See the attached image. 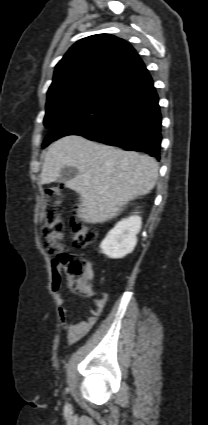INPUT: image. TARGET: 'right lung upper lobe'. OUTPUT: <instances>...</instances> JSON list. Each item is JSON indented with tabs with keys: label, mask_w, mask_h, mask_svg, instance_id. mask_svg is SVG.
<instances>
[{
	"label": "right lung upper lobe",
	"mask_w": 208,
	"mask_h": 425,
	"mask_svg": "<svg viewBox=\"0 0 208 425\" xmlns=\"http://www.w3.org/2000/svg\"><path fill=\"white\" fill-rule=\"evenodd\" d=\"M141 59L125 40L96 34L76 42L58 62L47 102L86 89H102Z\"/></svg>",
	"instance_id": "cb5924a9"
}]
</instances>
